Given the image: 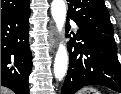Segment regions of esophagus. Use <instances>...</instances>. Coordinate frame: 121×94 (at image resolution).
<instances>
[{
    "instance_id": "obj_1",
    "label": "esophagus",
    "mask_w": 121,
    "mask_h": 94,
    "mask_svg": "<svg viewBox=\"0 0 121 94\" xmlns=\"http://www.w3.org/2000/svg\"><path fill=\"white\" fill-rule=\"evenodd\" d=\"M49 41L53 49L57 47L58 39L55 27H51L49 30Z\"/></svg>"
}]
</instances>
